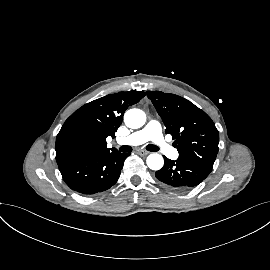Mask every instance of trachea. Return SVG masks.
<instances>
[{"mask_svg":"<svg viewBox=\"0 0 270 270\" xmlns=\"http://www.w3.org/2000/svg\"><path fill=\"white\" fill-rule=\"evenodd\" d=\"M146 149L149 150V151H158L159 150L157 146L152 145V144L147 145ZM120 151H122V152H131L132 148L130 146L124 145V146H122L120 148Z\"/></svg>","mask_w":270,"mask_h":270,"instance_id":"3493384b","label":"trachea"}]
</instances>
